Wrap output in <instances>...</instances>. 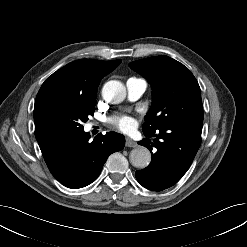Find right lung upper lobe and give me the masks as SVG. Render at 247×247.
<instances>
[{
  "instance_id": "obj_1",
  "label": "right lung upper lobe",
  "mask_w": 247,
  "mask_h": 247,
  "mask_svg": "<svg viewBox=\"0 0 247 247\" xmlns=\"http://www.w3.org/2000/svg\"><path fill=\"white\" fill-rule=\"evenodd\" d=\"M120 63L121 60L81 59L67 64L44 81L36 96L35 106L50 98L71 101L96 100L101 79Z\"/></svg>"
}]
</instances>
